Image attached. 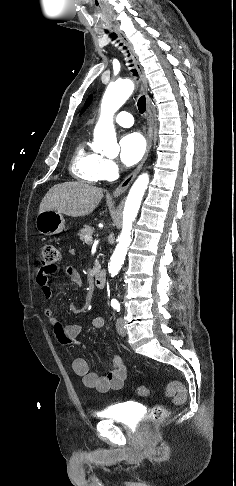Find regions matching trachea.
Wrapping results in <instances>:
<instances>
[{"label":"trachea","instance_id":"trachea-1","mask_svg":"<svg viewBox=\"0 0 236 486\" xmlns=\"http://www.w3.org/2000/svg\"><path fill=\"white\" fill-rule=\"evenodd\" d=\"M106 33H108V32L106 31ZM110 37H111L113 40H115V39L117 38V35H116L115 33H113V34H111V35H110ZM120 45H122V44H120ZM124 49H126V47H124ZM131 71L133 72V75H134V76H137V71H136L135 69H132ZM137 105H138V110H139V112H140L141 114H142V113H144V112H145V110H146V99H145V96H141V97L139 98Z\"/></svg>","mask_w":236,"mask_h":486}]
</instances>
